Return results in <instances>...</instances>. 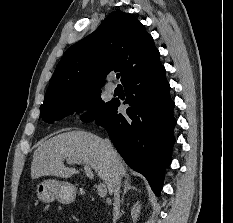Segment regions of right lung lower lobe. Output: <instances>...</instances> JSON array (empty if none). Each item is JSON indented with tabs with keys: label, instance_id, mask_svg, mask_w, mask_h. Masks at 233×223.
Masks as SVG:
<instances>
[{
	"label": "right lung lower lobe",
	"instance_id": "obj_1",
	"mask_svg": "<svg viewBox=\"0 0 233 223\" xmlns=\"http://www.w3.org/2000/svg\"><path fill=\"white\" fill-rule=\"evenodd\" d=\"M159 63L123 83L130 106L118 113L119 100H112L95 118L104 127L114 146L133 170L143 174L159 195L175 142L174 102Z\"/></svg>",
	"mask_w": 233,
	"mask_h": 223
}]
</instances>
